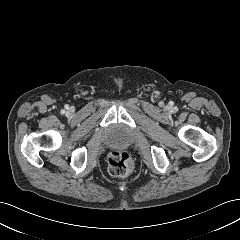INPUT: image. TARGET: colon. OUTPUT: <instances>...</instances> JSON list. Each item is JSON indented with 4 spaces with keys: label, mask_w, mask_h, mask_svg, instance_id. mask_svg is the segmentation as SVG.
Returning a JSON list of instances; mask_svg holds the SVG:
<instances>
[{
    "label": "colon",
    "mask_w": 240,
    "mask_h": 240,
    "mask_svg": "<svg viewBox=\"0 0 240 240\" xmlns=\"http://www.w3.org/2000/svg\"><path fill=\"white\" fill-rule=\"evenodd\" d=\"M135 169L133 158L124 151H113L108 156L109 173L115 177H127Z\"/></svg>",
    "instance_id": "1"
}]
</instances>
